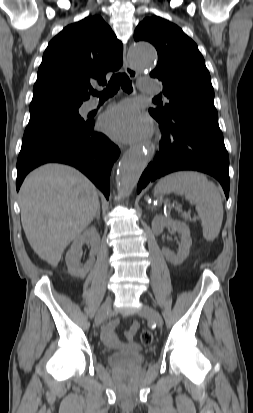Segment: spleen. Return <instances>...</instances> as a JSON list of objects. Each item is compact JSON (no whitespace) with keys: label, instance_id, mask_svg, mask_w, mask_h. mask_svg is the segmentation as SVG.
Returning <instances> with one entry per match:
<instances>
[{"label":"spleen","instance_id":"1","mask_svg":"<svg viewBox=\"0 0 253 413\" xmlns=\"http://www.w3.org/2000/svg\"><path fill=\"white\" fill-rule=\"evenodd\" d=\"M170 192L184 195L195 205L202 221L203 236L213 241L220 232L223 220V204L216 185L199 172L179 171L163 177L155 187L156 194Z\"/></svg>","mask_w":253,"mask_h":413}]
</instances>
